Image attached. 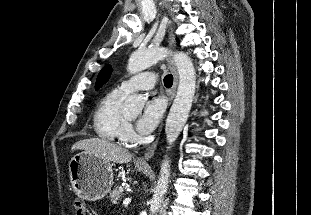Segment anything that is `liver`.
I'll return each instance as SVG.
<instances>
[{"label":"liver","mask_w":311,"mask_h":215,"mask_svg":"<svg viewBox=\"0 0 311 215\" xmlns=\"http://www.w3.org/2000/svg\"><path fill=\"white\" fill-rule=\"evenodd\" d=\"M75 150H83L86 153L94 154L108 162L124 164L132 159V154L116 144L99 138H88L77 141L71 148Z\"/></svg>","instance_id":"liver-1"}]
</instances>
